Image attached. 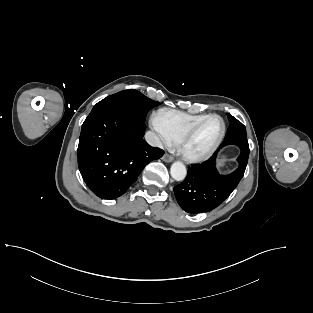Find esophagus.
Listing matches in <instances>:
<instances>
[{"mask_svg":"<svg viewBox=\"0 0 313 313\" xmlns=\"http://www.w3.org/2000/svg\"><path fill=\"white\" fill-rule=\"evenodd\" d=\"M163 161H165V162H172L173 161V157L171 156V155H169V154H164V156H163Z\"/></svg>","mask_w":313,"mask_h":313,"instance_id":"34e87169","label":"esophagus"}]
</instances>
